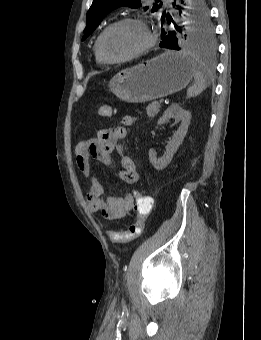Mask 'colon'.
Wrapping results in <instances>:
<instances>
[{"label":"colon","instance_id":"obj_1","mask_svg":"<svg viewBox=\"0 0 261 340\" xmlns=\"http://www.w3.org/2000/svg\"><path fill=\"white\" fill-rule=\"evenodd\" d=\"M113 109L109 105H103L98 109V115L110 116ZM153 201L144 190L135 192L133 210L136 213V220L124 231H111L109 238L115 243H128L140 237L144 231L146 218L151 213Z\"/></svg>","mask_w":261,"mask_h":340}]
</instances>
